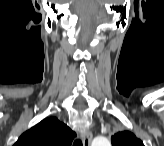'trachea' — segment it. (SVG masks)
<instances>
[{"instance_id": "trachea-1", "label": "trachea", "mask_w": 164, "mask_h": 146, "mask_svg": "<svg viewBox=\"0 0 164 146\" xmlns=\"http://www.w3.org/2000/svg\"><path fill=\"white\" fill-rule=\"evenodd\" d=\"M73 146H82V143L80 140H76Z\"/></svg>"}]
</instances>
